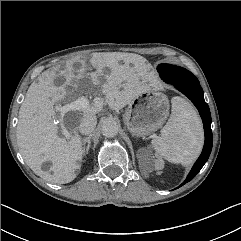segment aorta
<instances>
[{"instance_id":"obj_1","label":"aorta","mask_w":241,"mask_h":241,"mask_svg":"<svg viewBox=\"0 0 241 241\" xmlns=\"http://www.w3.org/2000/svg\"><path fill=\"white\" fill-rule=\"evenodd\" d=\"M119 131V124L116 120L114 119H105L101 123V132L102 135L105 137H114L118 134Z\"/></svg>"}]
</instances>
